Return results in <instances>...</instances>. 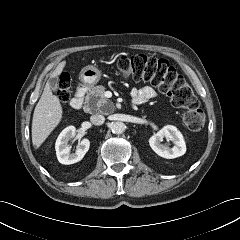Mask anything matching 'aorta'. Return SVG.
Here are the masks:
<instances>
[{
    "label": "aorta",
    "mask_w": 240,
    "mask_h": 240,
    "mask_svg": "<svg viewBox=\"0 0 240 240\" xmlns=\"http://www.w3.org/2000/svg\"><path fill=\"white\" fill-rule=\"evenodd\" d=\"M126 129V126L123 122L117 121L111 125V130L114 134H122Z\"/></svg>",
    "instance_id": "obj_1"
}]
</instances>
